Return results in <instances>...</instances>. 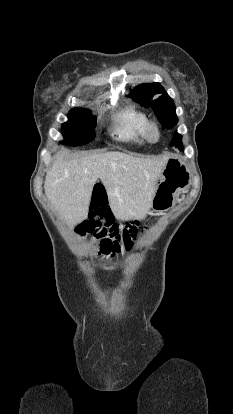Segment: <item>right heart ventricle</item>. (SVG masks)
Masks as SVG:
<instances>
[{
    "mask_svg": "<svg viewBox=\"0 0 233 414\" xmlns=\"http://www.w3.org/2000/svg\"><path fill=\"white\" fill-rule=\"evenodd\" d=\"M114 120L117 139L139 145L149 141L147 126L150 121L145 112L129 106L121 110Z\"/></svg>",
    "mask_w": 233,
    "mask_h": 414,
    "instance_id": "right-heart-ventricle-1",
    "label": "right heart ventricle"
}]
</instances>
